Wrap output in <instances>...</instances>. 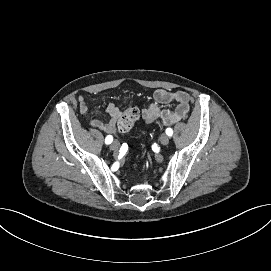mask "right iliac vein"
Masks as SVG:
<instances>
[{
    "mask_svg": "<svg viewBox=\"0 0 271 271\" xmlns=\"http://www.w3.org/2000/svg\"><path fill=\"white\" fill-rule=\"evenodd\" d=\"M119 146H120V144H119L118 141H113L112 144H111V146H110V149L112 151H116V150H118Z\"/></svg>",
    "mask_w": 271,
    "mask_h": 271,
    "instance_id": "63e3f726",
    "label": "right iliac vein"
}]
</instances>
